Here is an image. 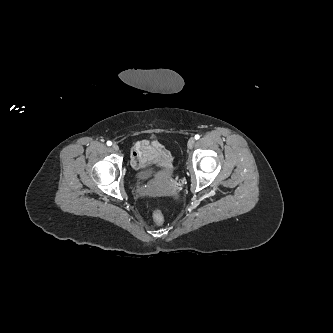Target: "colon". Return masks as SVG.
<instances>
[{"label":"colon","instance_id":"1","mask_svg":"<svg viewBox=\"0 0 333 333\" xmlns=\"http://www.w3.org/2000/svg\"><path fill=\"white\" fill-rule=\"evenodd\" d=\"M153 221L157 226H161L164 223V216L160 210H156L153 213Z\"/></svg>","mask_w":333,"mask_h":333}]
</instances>
